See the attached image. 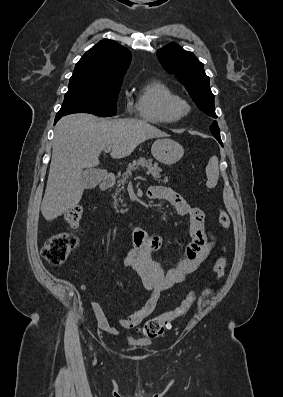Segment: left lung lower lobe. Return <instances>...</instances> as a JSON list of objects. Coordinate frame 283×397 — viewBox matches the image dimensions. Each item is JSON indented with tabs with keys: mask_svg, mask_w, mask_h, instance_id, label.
I'll return each instance as SVG.
<instances>
[{
	"mask_svg": "<svg viewBox=\"0 0 283 397\" xmlns=\"http://www.w3.org/2000/svg\"><path fill=\"white\" fill-rule=\"evenodd\" d=\"M214 137H215V138L218 140V142L223 146L220 136H214Z\"/></svg>",
	"mask_w": 283,
	"mask_h": 397,
	"instance_id": "0a47b994",
	"label": "left lung lower lobe"
}]
</instances>
